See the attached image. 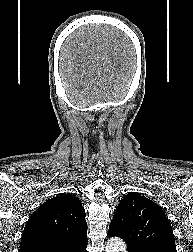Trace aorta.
<instances>
[{"instance_id":"obj_1","label":"aorta","mask_w":193,"mask_h":252,"mask_svg":"<svg viewBox=\"0 0 193 252\" xmlns=\"http://www.w3.org/2000/svg\"><path fill=\"white\" fill-rule=\"evenodd\" d=\"M106 252H127V246L122 239L112 237L107 241Z\"/></svg>"}]
</instances>
